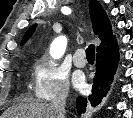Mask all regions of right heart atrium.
<instances>
[{"label":"right heart atrium","mask_w":133,"mask_h":118,"mask_svg":"<svg viewBox=\"0 0 133 118\" xmlns=\"http://www.w3.org/2000/svg\"><path fill=\"white\" fill-rule=\"evenodd\" d=\"M69 94L68 74L53 60L41 58L33 69V95L41 102Z\"/></svg>","instance_id":"right-heart-atrium-1"}]
</instances>
